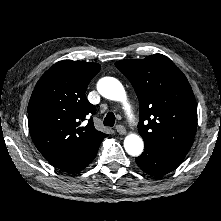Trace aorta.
<instances>
[{
	"instance_id": "762f6f07",
	"label": "aorta",
	"mask_w": 221,
	"mask_h": 221,
	"mask_svg": "<svg viewBox=\"0 0 221 221\" xmlns=\"http://www.w3.org/2000/svg\"><path fill=\"white\" fill-rule=\"evenodd\" d=\"M97 90L103 97L121 102L126 114L131 116V106L120 81L113 77H104L98 81ZM124 148L129 155L139 156L143 152L144 143L140 136L129 134L124 139Z\"/></svg>"
}]
</instances>
